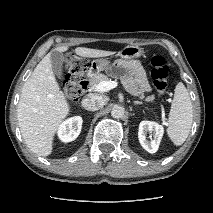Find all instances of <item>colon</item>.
I'll return each mask as SVG.
<instances>
[{
  "instance_id": "colon-1",
  "label": "colon",
  "mask_w": 213,
  "mask_h": 213,
  "mask_svg": "<svg viewBox=\"0 0 213 213\" xmlns=\"http://www.w3.org/2000/svg\"><path fill=\"white\" fill-rule=\"evenodd\" d=\"M67 75L63 91L68 100L77 101L85 92L84 82L89 62L81 57L70 55L65 60ZM151 77L156 90L164 95L168 88L169 68L162 56L156 55L151 59Z\"/></svg>"
}]
</instances>
